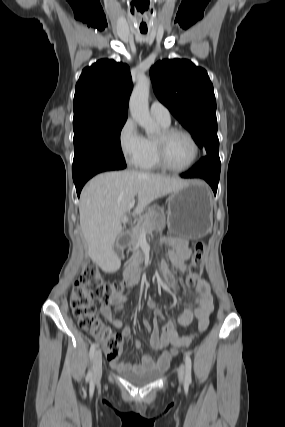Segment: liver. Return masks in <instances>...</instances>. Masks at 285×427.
<instances>
[{
  "label": "liver",
  "instance_id": "liver-1",
  "mask_svg": "<svg viewBox=\"0 0 285 427\" xmlns=\"http://www.w3.org/2000/svg\"><path fill=\"white\" fill-rule=\"evenodd\" d=\"M188 181L176 177L125 170L95 176L82 190L80 226L92 261L105 268L117 260L116 237L128 217L126 208L137 196L135 212H142L155 199L184 187Z\"/></svg>",
  "mask_w": 285,
  "mask_h": 427
}]
</instances>
